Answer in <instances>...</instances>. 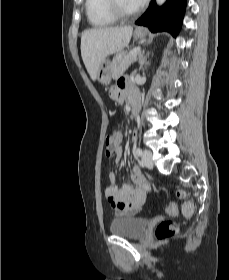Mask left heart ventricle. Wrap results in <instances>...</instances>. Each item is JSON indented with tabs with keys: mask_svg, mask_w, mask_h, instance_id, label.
<instances>
[{
	"mask_svg": "<svg viewBox=\"0 0 229 280\" xmlns=\"http://www.w3.org/2000/svg\"><path fill=\"white\" fill-rule=\"evenodd\" d=\"M120 3L122 5V7L124 8L125 11L127 12H131L134 11L135 9H137L130 0H120Z\"/></svg>",
	"mask_w": 229,
	"mask_h": 280,
	"instance_id": "1",
	"label": "left heart ventricle"
}]
</instances>
